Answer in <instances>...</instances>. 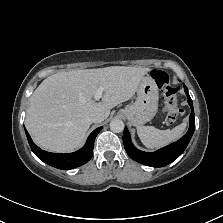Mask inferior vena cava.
<instances>
[{
	"label": "inferior vena cava",
	"instance_id": "1",
	"mask_svg": "<svg viewBox=\"0 0 223 223\" xmlns=\"http://www.w3.org/2000/svg\"><path fill=\"white\" fill-rule=\"evenodd\" d=\"M90 120L94 123H101L104 121V115L100 112L90 113Z\"/></svg>",
	"mask_w": 223,
	"mask_h": 223
}]
</instances>
